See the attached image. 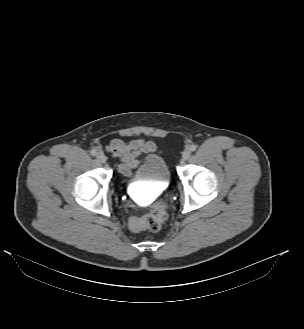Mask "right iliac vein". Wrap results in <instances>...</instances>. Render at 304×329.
Wrapping results in <instances>:
<instances>
[{
    "mask_svg": "<svg viewBox=\"0 0 304 329\" xmlns=\"http://www.w3.org/2000/svg\"><path fill=\"white\" fill-rule=\"evenodd\" d=\"M106 156L104 155V153H102V152H99L98 154H97V160L99 161V162H101V163H105L106 162Z\"/></svg>",
    "mask_w": 304,
    "mask_h": 329,
    "instance_id": "right-iliac-vein-1",
    "label": "right iliac vein"
}]
</instances>
